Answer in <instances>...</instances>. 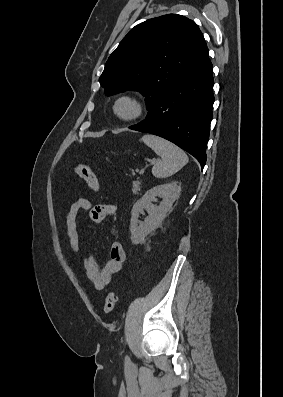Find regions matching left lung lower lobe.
<instances>
[{
	"label": "left lung lower lobe",
	"mask_w": 283,
	"mask_h": 397,
	"mask_svg": "<svg viewBox=\"0 0 283 397\" xmlns=\"http://www.w3.org/2000/svg\"><path fill=\"white\" fill-rule=\"evenodd\" d=\"M213 66L209 58L184 75L148 109L145 120L129 127L151 133L178 145L201 164L212 120Z\"/></svg>",
	"instance_id": "0a47b994"
}]
</instances>
